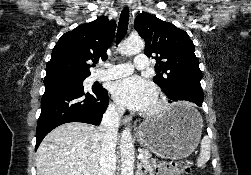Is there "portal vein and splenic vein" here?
I'll use <instances>...</instances> for the list:
<instances>
[{"mask_svg": "<svg viewBox=\"0 0 251 175\" xmlns=\"http://www.w3.org/2000/svg\"><path fill=\"white\" fill-rule=\"evenodd\" d=\"M139 160H144L145 156L143 155V153H139V155H137ZM84 175H88V173H84Z\"/></svg>", "mask_w": 251, "mask_h": 175, "instance_id": "portal-vein-and-splenic-vein-1", "label": "portal vein and splenic vein"}]
</instances>
